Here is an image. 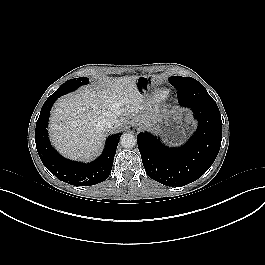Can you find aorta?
I'll list each match as a JSON object with an SVG mask.
<instances>
[{
  "mask_svg": "<svg viewBox=\"0 0 265 265\" xmlns=\"http://www.w3.org/2000/svg\"><path fill=\"white\" fill-rule=\"evenodd\" d=\"M120 144L124 148H133L137 144L136 137L131 133H124L121 135Z\"/></svg>",
  "mask_w": 265,
  "mask_h": 265,
  "instance_id": "aorta-1",
  "label": "aorta"
}]
</instances>
